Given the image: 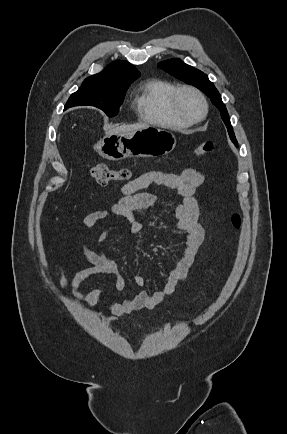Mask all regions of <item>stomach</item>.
Segmentation results:
<instances>
[{
	"instance_id": "0dacf381",
	"label": "stomach",
	"mask_w": 287,
	"mask_h": 434,
	"mask_svg": "<svg viewBox=\"0 0 287 434\" xmlns=\"http://www.w3.org/2000/svg\"><path fill=\"white\" fill-rule=\"evenodd\" d=\"M176 146L175 136L164 129L147 126L132 133L106 134L95 149L103 157L118 161L129 157L166 155Z\"/></svg>"
}]
</instances>
